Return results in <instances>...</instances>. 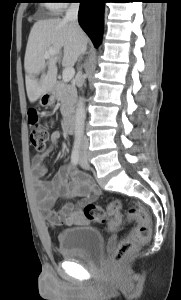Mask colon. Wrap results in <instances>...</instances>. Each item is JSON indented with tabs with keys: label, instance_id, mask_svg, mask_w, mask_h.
Instances as JSON below:
<instances>
[{
	"label": "colon",
	"instance_id": "colon-1",
	"mask_svg": "<svg viewBox=\"0 0 181 300\" xmlns=\"http://www.w3.org/2000/svg\"><path fill=\"white\" fill-rule=\"evenodd\" d=\"M30 132L29 138L35 148H42L49 138L46 124L39 122V114L36 111L29 113ZM121 203L112 200L105 207L88 204L83 209L85 218L96 223H107L110 230L116 229L124 222L120 214ZM126 220L136 223V227L129 236L123 239L117 246L113 260L117 263L126 261L134 251L147 243L151 237V226L148 212L143 207H130L127 211Z\"/></svg>",
	"mask_w": 181,
	"mask_h": 300
}]
</instances>
